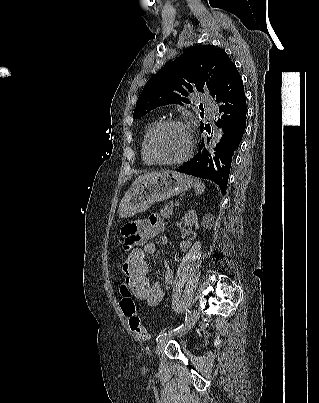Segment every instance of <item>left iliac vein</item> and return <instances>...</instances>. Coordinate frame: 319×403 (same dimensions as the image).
<instances>
[{"label": "left iliac vein", "mask_w": 319, "mask_h": 403, "mask_svg": "<svg viewBox=\"0 0 319 403\" xmlns=\"http://www.w3.org/2000/svg\"><path fill=\"white\" fill-rule=\"evenodd\" d=\"M198 316H199L198 311L194 310L193 314L191 315L190 321L185 325V327L181 331L176 333V336L179 337V336L186 334L194 326V324L196 323V321L198 319ZM170 338H172V336L165 337L157 343L156 348H155V354L157 357H159L160 354L163 352L164 347Z\"/></svg>", "instance_id": "left-iliac-vein-1"}]
</instances>
